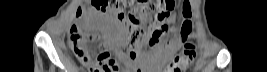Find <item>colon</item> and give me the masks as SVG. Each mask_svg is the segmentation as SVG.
Wrapping results in <instances>:
<instances>
[{
  "mask_svg": "<svg viewBox=\"0 0 267 72\" xmlns=\"http://www.w3.org/2000/svg\"><path fill=\"white\" fill-rule=\"evenodd\" d=\"M94 8L102 13H112L119 25L128 34V50L139 52L145 45H156L167 40L169 27L166 19L172 12V0L136 1V0H92ZM81 11L77 13L79 17ZM181 34L186 40L194 27L191 13L183 7ZM69 39L80 56V62L93 72H118L120 65L108 52L93 55L84 29L73 25L69 31ZM196 56L195 47L187 43L183 52L171 64V72H181L191 65Z\"/></svg>",
  "mask_w": 267,
  "mask_h": 72,
  "instance_id": "5ec220e1",
  "label": "colon"
}]
</instances>
